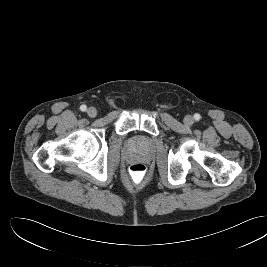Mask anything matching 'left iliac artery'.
Here are the masks:
<instances>
[{
	"mask_svg": "<svg viewBox=\"0 0 267 267\" xmlns=\"http://www.w3.org/2000/svg\"><path fill=\"white\" fill-rule=\"evenodd\" d=\"M194 118H195L196 121H199L200 118H201V116H200V114H195V115H194Z\"/></svg>",
	"mask_w": 267,
	"mask_h": 267,
	"instance_id": "44dca946",
	"label": "left iliac artery"
}]
</instances>
